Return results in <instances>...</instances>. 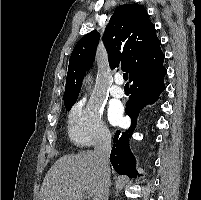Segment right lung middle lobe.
I'll return each mask as SVG.
<instances>
[{
	"label": "right lung middle lobe",
	"mask_w": 201,
	"mask_h": 200,
	"mask_svg": "<svg viewBox=\"0 0 201 200\" xmlns=\"http://www.w3.org/2000/svg\"><path fill=\"white\" fill-rule=\"evenodd\" d=\"M77 98L76 99H70V100H65L64 103H65V107H66V111L70 110L71 107L75 104Z\"/></svg>",
	"instance_id": "obj_1"
}]
</instances>
